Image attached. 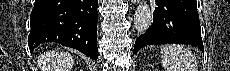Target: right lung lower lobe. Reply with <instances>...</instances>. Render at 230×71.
<instances>
[{"mask_svg": "<svg viewBox=\"0 0 230 71\" xmlns=\"http://www.w3.org/2000/svg\"><path fill=\"white\" fill-rule=\"evenodd\" d=\"M97 5L98 0H35L30 15V52L45 43H58L96 60Z\"/></svg>", "mask_w": 230, "mask_h": 71, "instance_id": "obj_1", "label": "right lung lower lobe"}]
</instances>
